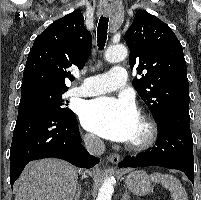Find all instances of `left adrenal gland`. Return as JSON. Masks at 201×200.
Masks as SVG:
<instances>
[{
  "instance_id": "a2214340",
  "label": "left adrenal gland",
  "mask_w": 201,
  "mask_h": 200,
  "mask_svg": "<svg viewBox=\"0 0 201 200\" xmlns=\"http://www.w3.org/2000/svg\"><path fill=\"white\" fill-rule=\"evenodd\" d=\"M122 200H130L129 192L125 190L124 194L122 195Z\"/></svg>"
}]
</instances>
